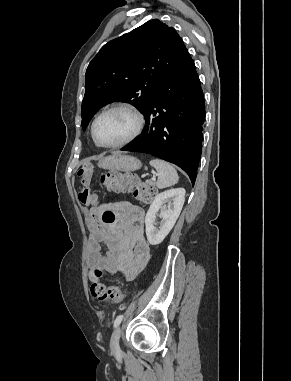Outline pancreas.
Here are the masks:
<instances>
[{
	"label": "pancreas",
	"mask_w": 291,
	"mask_h": 381,
	"mask_svg": "<svg viewBox=\"0 0 291 381\" xmlns=\"http://www.w3.org/2000/svg\"><path fill=\"white\" fill-rule=\"evenodd\" d=\"M147 184L152 186L153 189H155V182L154 181H147Z\"/></svg>",
	"instance_id": "pancreas-1"
}]
</instances>
